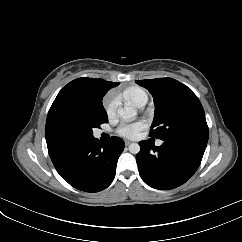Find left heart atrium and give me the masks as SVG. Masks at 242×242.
<instances>
[{"label":"left heart atrium","instance_id":"obj_1","mask_svg":"<svg viewBox=\"0 0 242 242\" xmlns=\"http://www.w3.org/2000/svg\"><path fill=\"white\" fill-rule=\"evenodd\" d=\"M146 128L144 121H135L130 123H122L117 128V133L128 139H135L139 136L140 132Z\"/></svg>","mask_w":242,"mask_h":242}]
</instances>
